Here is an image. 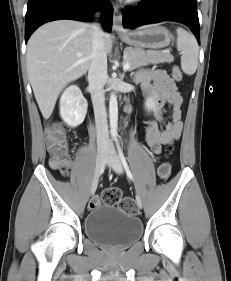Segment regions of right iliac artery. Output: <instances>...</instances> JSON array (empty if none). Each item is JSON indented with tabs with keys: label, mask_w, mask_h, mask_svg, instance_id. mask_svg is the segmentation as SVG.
Here are the masks:
<instances>
[{
	"label": "right iliac artery",
	"mask_w": 231,
	"mask_h": 281,
	"mask_svg": "<svg viewBox=\"0 0 231 281\" xmlns=\"http://www.w3.org/2000/svg\"><path fill=\"white\" fill-rule=\"evenodd\" d=\"M105 166H106V159H105L104 162H103V165H102V167H101V170H100V174H99V175H101V174L104 172Z\"/></svg>",
	"instance_id": "82829eb1"
}]
</instances>
